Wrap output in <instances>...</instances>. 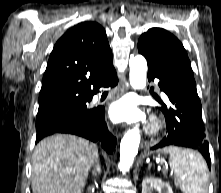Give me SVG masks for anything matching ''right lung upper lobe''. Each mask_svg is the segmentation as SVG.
<instances>
[{
	"label": "right lung upper lobe",
	"instance_id": "obj_1",
	"mask_svg": "<svg viewBox=\"0 0 221 193\" xmlns=\"http://www.w3.org/2000/svg\"><path fill=\"white\" fill-rule=\"evenodd\" d=\"M114 70L104 28L96 22H82L69 29L54 46L39 103L61 98H91Z\"/></svg>",
	"mask_w": 221,
	"mask_h": 193
}]
</instances>
